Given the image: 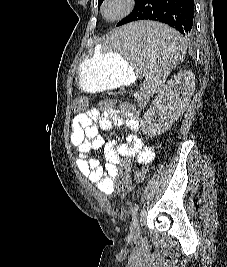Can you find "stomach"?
Wrapping results in <instances>:
<instances>
[{"mask_svg":"<svg viewBox=\"0 0 227 267\" xmlns=\"http://www.w3.org/2000/svg\"><path fill=\"white\" fill-rule=\"evenodd\" d=\"M140 59H128L126 55H106V48H101L93 57L85 59L80 64L76 82L85 92H98L114 89L129 84L136 79Z\"/></svg>","mask_w":227,"mask_h":267,"instance_id":"stomach-1","label":"stomach"}]
</instances>
